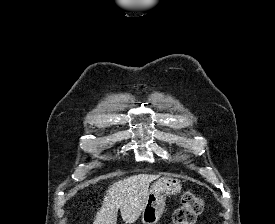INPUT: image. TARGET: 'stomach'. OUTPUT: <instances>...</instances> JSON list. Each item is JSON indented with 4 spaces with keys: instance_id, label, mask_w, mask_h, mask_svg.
<instances>
[{
    "instance_id": "1",
    "label": "stomach",
    "mask_w": 275,
    "mask_h": 224,
    "mask_svg": "<svg viewBox=\"0 0 275 224\" xmlns=\"http://www.w3.org/2000/svg\"><path fill=\"white\" fill-rule=\"evenodd\" d=\"M182 188L180 180L164 176L157 179L150 187L145 207L142 210L143 224H156L165 209V200L169 195H177Z\"/></svg>"
}]
</instances>
